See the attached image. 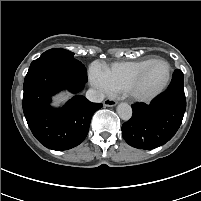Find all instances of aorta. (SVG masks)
Listing matches in <instances>:
<instances>
[{
    "label": "aorta",
    "instance_id": "obj_1",
    "mask_svg": "<svg viewBox=\"0 0 201 201\" xmlns=\"http://www.w3.org/2000/svg\"><path fill=\"white\" fill-rule=\"evenodd\" d=\"M117 114L122 120H129L132 116V108L127 103H120L117 106Z\"/></svg>",
    "mask_w": 201,
    "mask_h": 201
}]
</instances>
